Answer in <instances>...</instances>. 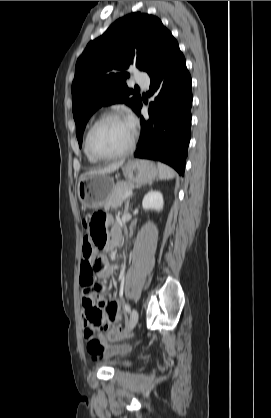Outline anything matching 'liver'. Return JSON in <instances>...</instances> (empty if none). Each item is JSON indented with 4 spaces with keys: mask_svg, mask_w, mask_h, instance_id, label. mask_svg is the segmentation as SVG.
I'll return each mask as SVG.
<instances>
[{
    "mask_svg": "<svg viewBox=\"0 0 271 418\" xmlns=\"http://www.w3.org/2000/svg\"><path fill=\"white\" fill-rule=\"evenodd\" d=\"M124 161H120V162H116L113 164H110L104 168H99V169H94V170H90L87 173H84L82 177L87 176V175H94V174H102V175H106V174H110L113 173L114 171L118 170L119 167H121L123 165Z\"/></svg>",
    "mask_w": 271,
    "mask_h": 418,
    "instance_id": "6515ba94",
    "label": "liver"
}]
</instances>
